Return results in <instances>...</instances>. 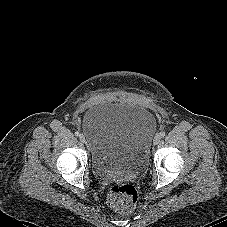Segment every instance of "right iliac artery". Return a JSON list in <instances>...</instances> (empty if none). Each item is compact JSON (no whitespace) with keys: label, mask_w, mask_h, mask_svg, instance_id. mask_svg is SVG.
<instances>
[{"label":"right iliac artery","mask_w":227,"mask_h":227,"mask_svg":"<svg viewBox=\"0 0 227 227\" xmlns=\"http://www.w3.org/2000/svg\"><path fill=\"white\" fill-rule=\"evenodd\" d=\"M75 135L76 136H80V133L77 131V132H75Z\"/></svg>","instance_id":"obj_1"}]
</instances>
